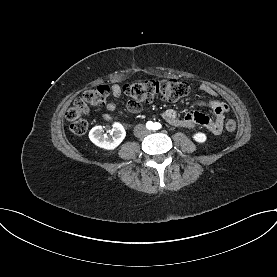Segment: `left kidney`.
I'll return each mask as SVG.
<instances>
[{
	"mask_svg": "<svg viewBox=\"0 0 277 277\" xmlns=\"http://www.w3.org/2000/svg\"><path fill=\"white\" fill-rule=\"evenodd\" d=\"M193 139L198 143H204L207 140V136L204 133L198 132L193 135Z\"/></svg>",
	"mask_w": 277,
	"mask_h": 277,
	"instance_id": "1",
	"label": "left kidney"
}]
</instances>
